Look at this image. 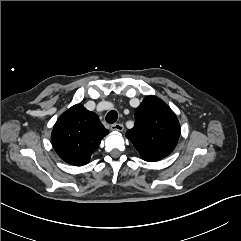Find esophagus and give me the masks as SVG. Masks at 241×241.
I'll use <instances>...</instances> for the list:
<instances>
[{"label":"esophagus","mask_w":241,"mask_h":241,"mask_svg":"<svg viewBox=\"0 0 241 241\" xmlns=\"http://www.w3.org/2000/svg\"><path fill=\"white\" fill-rule=\"evenodd\" d=\"M110 129L113 130V131L122 132L124 130V126L120 123H115V124L111 125Z\"/></svg>","instance_id":"esophagus-1"}]
</instances>
